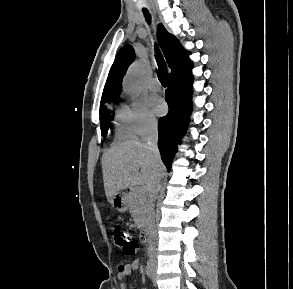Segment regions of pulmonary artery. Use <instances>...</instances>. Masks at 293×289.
Instances as JSON below:
<instances>
[{"label":"pulmonary artery","instance_id":"obj_1","mask_svg":"<svg viewBox=\"0 0 293 289\" xmlns=\"http://www.w3.org/2000/svg\"><path fill=\"white\" fill-rule=\"evenodd\" d=\"M148 87L151 91H160L161 83L157 78H152L148 83Z\"/></svg>","mask_w":293,"mask_h":289}]
</instances>
